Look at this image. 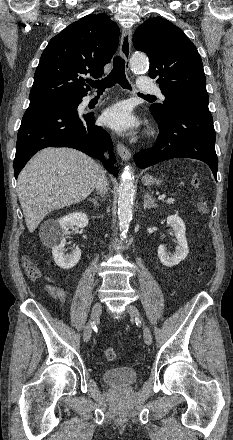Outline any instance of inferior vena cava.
<instances>
[{"instance_id":"obj_1","label":"inferior vena cava","mask_w":233,"mask_h":440,"mask_svg":"<svg viewBox=\"0 0 233 440\" xmlns=\"http://www.w3.org/2000/svg\"><path fill=\"white\" fill-rule=\"evenodd\" d=\"M95 187L101 194H105L107 192L108 181H107V178L105 177V173L103 170L97 180Z\"/></svg>"}]
</instances>
